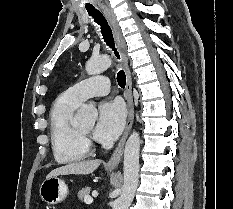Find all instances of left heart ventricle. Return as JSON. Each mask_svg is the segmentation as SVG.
<instances>
[{"label": "left heart ventricle", "mask_w": 233, "mask_h": 209, "mask_svg": "<svg viewBox=\"0 0 233 209\" xmlns=\"http://www.w3.org/2000/svg\"><path fill=\"white\" fill-rule=\"evenodd\" d=\"M92 128H93L92 126H89V127H86V128H82L81 131L86 133V134H89V133H91Z\"/></svg>", "instance_id": "left-heart-ventricle-1"}]
</instances>
